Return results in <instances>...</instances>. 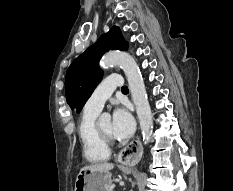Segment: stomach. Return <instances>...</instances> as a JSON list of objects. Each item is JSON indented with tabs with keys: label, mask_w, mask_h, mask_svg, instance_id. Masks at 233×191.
<instances>
[{
	"label": "stomach",
	"mask_w": 233,
	"mask_h": 191,
	"mask_svg": "<svg viewBox=\"0 0 233 191\" xmlns=\"http://www.w3.org/2000/svg\"><path fill=\"white\" fill-rule=\"evenodd\" d=\"M111 184L110 172L81 170L77 175L74 191H108Z\"/></svg>",
	"instance_id": "0dacf381"
}]
</instances>
